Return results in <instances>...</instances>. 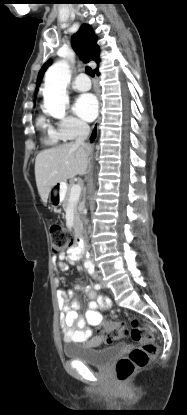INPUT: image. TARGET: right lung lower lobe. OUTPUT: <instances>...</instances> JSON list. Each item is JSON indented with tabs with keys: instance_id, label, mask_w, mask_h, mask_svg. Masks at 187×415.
Instances as JSON below:
<instances>
[{
	"instance_id": "obj_1",
	"label": "right lung lower lobe",
	"mask_w": 187,
	"mask_h": 415,
	"mask_svg": "<svg viewBox=\"0 0 187 415\" xmlns=\"http://www.w3.org/2000/svg\"><path fill=\"white\" fill-rule=\"evenodd\" d=\"M95 73H96L97 75H99V72H98V70H96V71H95Z\"/></svg>"
}]
</instances>
